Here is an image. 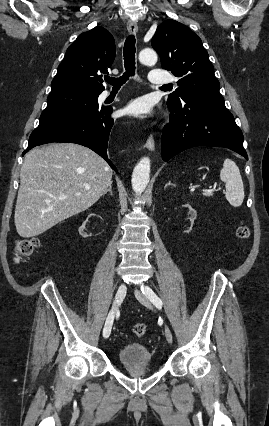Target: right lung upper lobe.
<instances>
[{
    "label": "right lung upper lobe",
    "mask_w": 269,
    "mask_h": 426,
    "mask_svg": "<svg viewBox=\"0 0 269 426\" xmlns=\"http://www.w3.org/2000/svg\"><path fill=\"white\" fill-rule=\"evenodd\" d=\"M115 59L113 36L103 27L80 34L69 46L51 83V92L79 90L101 93V73H108Z\"/></svg>",
    "instance_id": "cb5924a9"
}]
</instances>
